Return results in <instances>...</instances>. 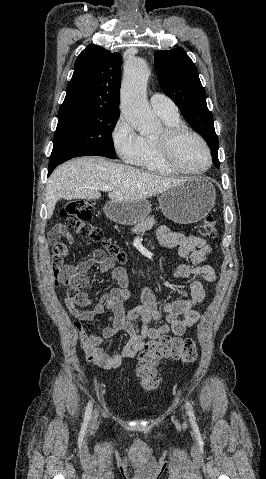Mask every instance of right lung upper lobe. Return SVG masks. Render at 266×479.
Segmentation results:
<instances>
[{
  "label": "right lung upper lobe",
  "mask_w": 266,
  "mask_h": 479,
  "mask_svg": "<svg viewBox=\"0 0 266 479\" xmlns=\"http://www.w3.org/2000/svg\"><path fill=\"white\" fill-rule=\"evenodd\" d=\"M120 53L95 44L77 57L67 94L59 108L65 113H119Z\"/></svg>",
  "instance_id": "right-lung-upper-lobe-1"
}]
</instances>
